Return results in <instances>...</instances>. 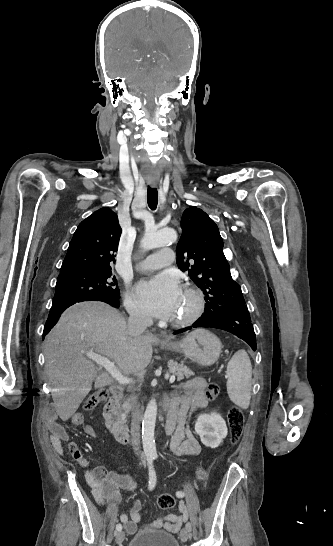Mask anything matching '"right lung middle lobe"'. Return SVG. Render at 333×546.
Masks as SVG:
<instances>
[{"label":"right lung middle lobe","mask_w":333,"mask_h":546,"mask_svg":"<svg viewBox=\"0 0 333 546\" xmlns=\"http://www.w3.org/2000/svg\"><path fill=\"white\" fill-rule=\"evenodd\" d=\"M97 296L120 298L117 281L115 277L112 278L111 271L75 272L58 276L53 302Z\"/></svg>","instance_id":"dd1d6c3e"}]
</instances>
